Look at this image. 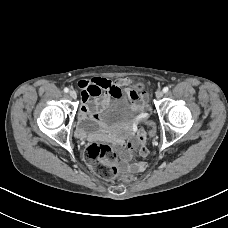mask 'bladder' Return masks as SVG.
I'll return each mask as SVG.
<instances>
[{"mask_svg":"<svg viewBox=\"0 0 228 228\" xmlns=\"http://www.w3.org/2000/svg\"><path fill=\"white\" fill-rule=\"evenodd\" d=\"M140 109L135 107L127 95L116 96L104 108L100 117L103 127H115L132 123L139 115Z\"/></svg>","mask_w":228,"mask_h":228,"instance_id":"obj_1","label":"bladder"}]
</instances>
